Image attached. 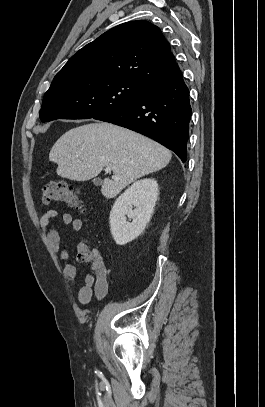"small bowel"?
I'll return each mask as SVG.
<instances>
[{
    "label": "small bowel",
    "mask_w": 265,
    "mask_h": 407,
    "mask_svg": "<svg viewBox=\"0 0 265 407\" xmlns=\"http://www.w3.org/2000/svg\"><path fill=\"white\" fill-rule=\"evenodd\" d=\"M60 217L64 226H70L74 231H80L83 227L81 219L73 218L70 213L59 214L55 209H49L39 219V224L47 236L49 244L56 258L63 263V273L67 279L74 281L77 277V268L69 261V252L61 243L59 232L52 224V220ZM108 270L105 266L95 267L93 274H88L84 285L79 289L78 300L81 304H88L93 296L102 299L108 292Z\"/></svg>",
    "instance_id": "obj_1"
}]
</instances>
